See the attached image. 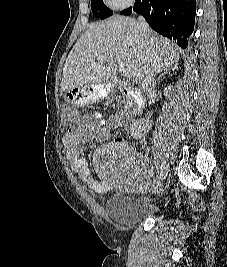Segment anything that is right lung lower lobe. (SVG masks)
I'll list each match as a JSON object with an SVG mask.
<instances>
[{
	"label": "right lung lower lobe",
	"instance_id": "obj_1",
	"mask_svg": "<svg viewBox=\"0 0 227 267\" xmlns=\"http://www.w3.org/2000/svg\"><path fill=\"white\" fill-rule=\"evenodd\" d=\"M195 9L196 0H135L133 8L125 9L120 14L137 12L156 32L186 48L187 37L194 29Z\"/></svg>",
	"mask_w": 227,
	"mask_h": 267
}]
</instances>
